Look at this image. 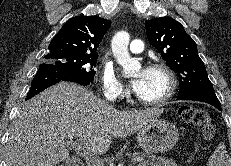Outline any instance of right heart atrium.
Here are the masks:
<instances>
[{"label": "right heart atrium", "instance_id": "d8ad5b80", "mask_svg": "<svg viewBox=\"0 0 231 166\" xmlns=\"http://www.w3.org/2000/svg\"><path fill=\"white\" fill-rule=\"evenodd\" d=\"M102 91L105 97L115 100L125 95L126 90L113 68H106L102 74Z\"/></svg>", "mask_w": 231, "mask_h": 166}]
</instances>
